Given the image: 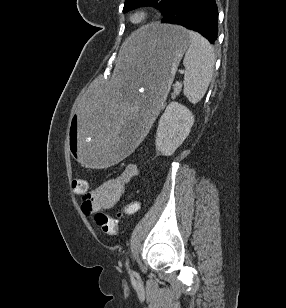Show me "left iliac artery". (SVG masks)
I'll list each match as a JSON object with an SVG mask.
<instances>
[{
    "label": "left iliac artery",
    "mask_w": 286,
    "mask_h": 308,
    "mask_svg": "<svg viewBox=\"0 0 286 308\" xmlns=\"http://www.w3.org/2000/svg\"><path fill=\"white\" fill-rule=\"evenodd\" d=\"M126 267L129 270V272H131L130 267H129V259L126 260Z\"/></svg>",
    "instance_id": "obj_1"
}]
</instances>
